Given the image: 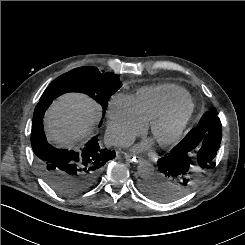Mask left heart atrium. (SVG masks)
<instances>
[{
    "instance_id": "obj_1",
    "label": "left heart atrium",
    "mask_w": 245,
    "mask_h": 245,
    "mask_svg": "<svg viewBox=\"0 0 245 245\" xmlns=\"http://www.w3.org/2000/svg\"><path fill=\"white\" fill-rule=\"evenodd\" d=\"M146 148V144H139L135 147V150L137 151H143Z\"/></svg>"
}]
</instances>
